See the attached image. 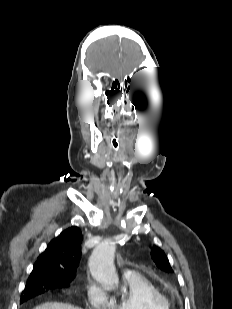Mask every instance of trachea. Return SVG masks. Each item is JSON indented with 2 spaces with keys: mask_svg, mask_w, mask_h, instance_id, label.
<instances>
[{
  "mask_svg": "<svg viewBox=\"0 0 232 309\" xmlns=\"http://www.w3.org/2000/svg\"><path fill=\"white\" fill-rule=\"evenodd\" d=\"M110 145L115 152H119L120 143L115 135L110 136Z\"/></svg>",
  "mask_w": 232,
  "mask_h": 309,
  "instance_id": "trachea-1",
  "label": "trachea"
}]
</instances>
